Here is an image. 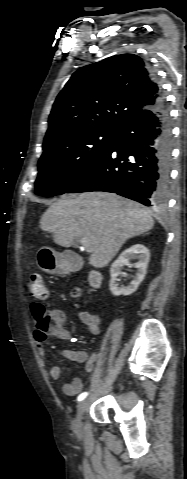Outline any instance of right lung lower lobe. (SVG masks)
<instances>
[{
  "instance_id": "right-lung-lower-lobe-1",
  "label": "right lung lower lobe",
  "mask_w": 187,
  "mask_h": 479,
  "mask_svg": "<svg viewBox=\"0 0 187 479\" xmlns=\"http://www.w3.org/2000/svg\"><path fill=\"white\" fill-rule=\"evenodd\" d=\"M171 152V121L162 95L154 106L138 112L119 129L107 152L65 193L105 191L146 206L163 205L169 188Z\"/></svg>"
}]
</instances>
